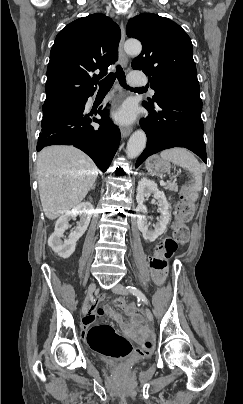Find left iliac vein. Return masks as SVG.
Instances as JSON below:
<instances>
[{
	"label": "left iliac vein",
	"instance_id": "4c4485c4",
	"mask_svg": "<svg viewBox=\"0 0 243 404\" xmlns=\"http://www.w3.org/2000/svg\"><path fill=\"white\" fill-rule=\"evenodd\" d=\"M113 292L114 293H116V294H121V295H126V294H128V291L124 288V286L122 285V284H120V283H118V284H116L114 287H113ZM145 316H146V318L151 322V321H153V314H152V312H151V310L149 309V308H145Z\"/></svg>",
	"mask_w": 243,
	"mask_h": 404
}]
</instances>
